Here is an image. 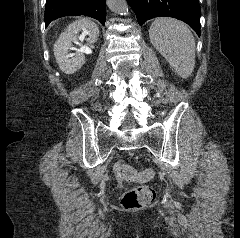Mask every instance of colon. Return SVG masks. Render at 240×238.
I'll return each mask as SVG.
<instances>
[{"label":"colon","mask_w":240,"mask_h":238,"mask_svg":"<svg viewBox=\"0 0 240 238\" xmlns=\"http://www.w3.org/2000/svg\"><path fill=\"white\" fill-rule=\"evenodd\" d=\"M152 176L151 170L136 171L129 165H122L117 171V179L124 181L144 182ZM155 199L153 188L147 184L139 183L128 189L121 198V206L126 210H134L147 207Z\"/></svg>","instance_id":"5ec220e1"}]
</instances>
